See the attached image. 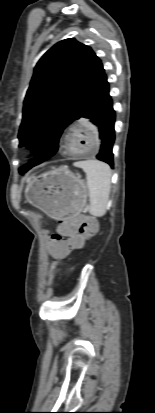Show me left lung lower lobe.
I'll return each instance as SVG.
<instances>
[{
    "instance_id": "1",
    "label": "left lung lower lobe",
    "mask_w": 155,
    "mask_h": 413,
    "mask_svg": "<svg viewBox=\"0 0 155 413\" xmlns=\"http://www.w3.org/2000/svg\"><path fill=\"white\" fill-rule=\"evenodd\" d=\"M78 116L79 118L87 119V121L92 122L98 127L99 138L102 144L97 158L108 163L113 168L112 146L115 139V111L112 107L109 84L104 72L94 90L81 106ZM58 139L57 137L56 141Z\"/></svg>"
}]
</instances>
